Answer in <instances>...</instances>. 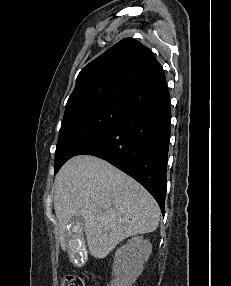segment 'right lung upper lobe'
Instances as JSON below:
<instances>
[{
  "label": "right lung upper lobe",
  "instance_id": "cb5924a9",
  "mask_svg": "<svg viewBox=\"0 0 231 286\" xmlns=\"http://www.w3.org/2000/svg\"><path fill=\"white\" fill-rule=\"evenodd\" d=\"M164 81L153 53L135 39L125 38L81 70L64 115L102 101L128 105Z\"/></svg>",
  "mask_w": 231,
  "mask_h": 286
}]
</instances>
